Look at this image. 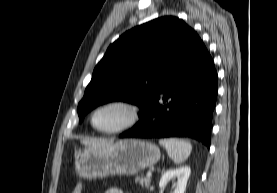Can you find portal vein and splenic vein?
<instances>
[{
	"label": "portal vein and splenic vein",
	"mask_w": 277,
	"mask_h": 193,
	"mask_svg": "<svg viewBox=\"0 0 277 193\" xmlns=\"http://www.w3.org/2000/svg\"><path fill=\"white\" fill-rule=\"evenodd\" d=\"M146 176H147V178H150L152 176V173L151 172H147Z\"/></svg>",
	"instance_id": "obj_1"
}]
</instances>
